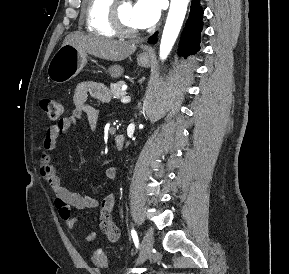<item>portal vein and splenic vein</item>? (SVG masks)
Wrapping results in <instances>:
<instances>
[{"mask_svg":"<svg viewBox=\"0 0 289 274\" xmlns=\"http://www.w3.org/2000/svg\"><path fill=\"white\" fill-rule=\"evenodd\" d=\"M131 100V98L129 96H122L120 101L122 103H128Z\"/></svg>","mask_w":289,"mask_h":274,"instance_id":"1","label":"portal vein and splenic vein"}]
</instances>
